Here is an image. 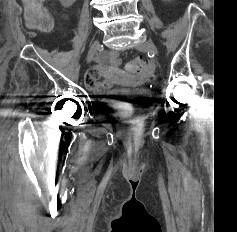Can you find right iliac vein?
Listing matches in <instances>:
<instances>
[{"label":"right iliac vein","mask_w":237,"mask_h":232,"mask_svg":"<svg viewBox=\"0 0 237 232\" xmlns=\"http://www.w3.org/2000/svg\"><path fill=\"white\" fill-rule=\"evenodd\" d=\"M100 46V43L98 40H95L89 48L88 54H87V63L91 62L94 58V55L97 52L98 47Z\"/></svg>","instance_id":"1"}]
</instances>
